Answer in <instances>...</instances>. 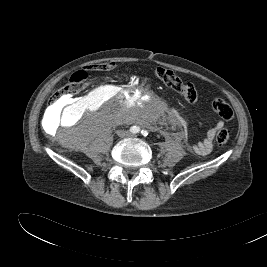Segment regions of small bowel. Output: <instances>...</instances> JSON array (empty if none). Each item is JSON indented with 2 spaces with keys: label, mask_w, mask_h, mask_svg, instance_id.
<instances>
[{
  "label": "small bowel",
  "mask_w": 267,
  "mask_h": 267,
  "mask_svg": "<svg viewBox=\"0 0 267 267\" xmlns=\"http://www.w3.org/2000/svg\"><path fill=\"white\" fill-rule=\"evenodd\" d=\"M76 107L75 103L70 104L66 109L73 110ZM64 109L62 107L51 108L49 113L51 116H56L62 113ZM223 126L222 121H218L214 127H212L206 134L203 141L192 146V150L199 155H207L211 152L213 146V139L216 131Z\"/></svg>",
  "instance_id": "small-bowel-1"
}]
</instances>
